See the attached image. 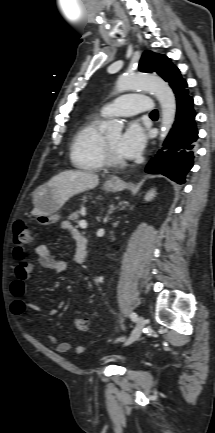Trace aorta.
Segmentation results:
<instances>
[{
    "mask_svg": "<svg viewBox=\"0 0 215 433\" xmlns=\"http://www.w3.org/2000/svg\"><path fill=\"white\" fill-rule=\"evenodd\" d=\"M136 89H145L154 93L161 106L162 125L160 140L163 141L168 135L176 115V100L174 93L168 83L157 76L148 74H128L120 76L117 84V92H124ZM123 124L113 120L107 125L110 133L119 134Z\"/></svg>",
    "mask_w": 215,
    "mask_h": 433,
    "instance_id": "762f6f07",
    "label": "aorta"
}]
</instances>
